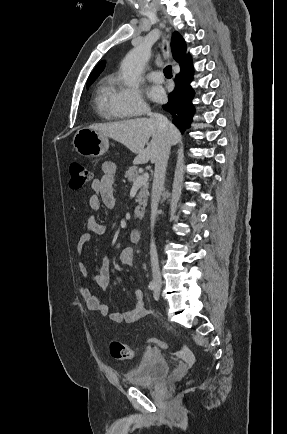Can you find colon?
<instances>
[{
    "instance_id": "obj_1",
    "label": "colon",
    "mask_w": 287,
    "mask_h": 434,
    "mask_svg": "<svg viewBox=\"0 0 287 434\" xmlns=\"http://www.w3.org/2000/svg\"><path fill=\"white\" fill-rule=\"evenodd\" d=\"M70 174L71 180L69 185L72 189H79L83 187L93 178L92 171L80 163L71 164ZM148 345L160 349L168 348V344L166 342L156 338L148 340ZM110 354L113 358L118 360H131L135 356V352L131 347L116 340H113L110 343Z\"/></svg>"
}]
</instances>
